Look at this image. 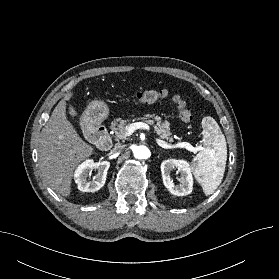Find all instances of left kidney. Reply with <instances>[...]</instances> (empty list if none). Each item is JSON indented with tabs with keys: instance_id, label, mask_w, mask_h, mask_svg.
Masks as SVG:
<instances>
[{
	"instance_id": "1",
	"label": "left kidney",
	"mask_w": 279,
	"mask_h": 279,
	"mask_svg": "<svg viewBox=\"0 0 279 279\" xmlns=\"http://www.w3.org/2000/svg\"><path fill=\"white\" fill-rule=\"evenodd\" d=\"M177 169L181 173L180 184L175 185L170 177L172 170ZM161 174L164 186L170 193L176 196H185L192 192L193 177L189 163L185 160L168 159L161 163Z\"/></svg>"
}]
</instances>
